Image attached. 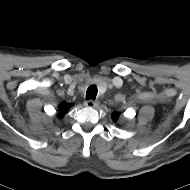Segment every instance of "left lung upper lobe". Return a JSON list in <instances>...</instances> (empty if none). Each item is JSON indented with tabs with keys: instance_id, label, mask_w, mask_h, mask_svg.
Returning a JSON list of instances; mask_svg holds the SVG:
<instances>
[{
	"instance_id": "1",
	"label": "left lung upper lobe",
	"mask_w": 190,
	"mask_h": 190,
	"mask_svg": "<svg viewBox=\"0 0 190 190\" xmlns=\"http://www.w3.org/2000/svg\"><path fill=\"white\" fill-rule=\"evenodd\" d=\"M112 118H113V121H117L118 115H117V114H114Z\"/></svg>"
}]
</instances>
